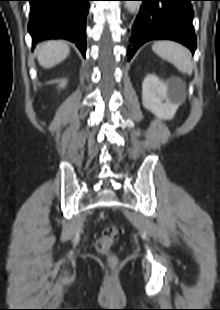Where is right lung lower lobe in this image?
I'll list each match as a JSON object with an SVG mask.
<instances>
[{
	"label": "right lung lower lobe",
	"mask_w": 220,
	"mask_h": 310,
	"mask_svg": "<svg viewBox=\"0 0 220 310\" xmlns=\"http://www.w3.org/2000/svg\"><path fill=\"white\" fill-rule=\"evenodd\" d=\"M32 42L67 39L86 55V16L91 0H29Z\"/></svg>",
	"instance_id": "obj_1"
}]
</instances>
